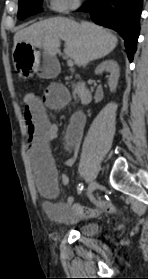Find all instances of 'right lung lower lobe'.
<instances>
[{
	"label": "right lung lower lobe",
	"instance_id": "obj_1",
	"mask_svg": "<svg viewBox=\"0 0 148 279\" xmlns=\"http://www.w3.org/2000/svg\"><path fill=\"white\" fill-rule=\"evenodd\" d=\"M143 0H88L81 10L90 13L97 24L116 30L125 40L128 59L137 49Z\"/></svg>",
	"mask_w": 148,
	"mask_h": 279
}]
</instances>
